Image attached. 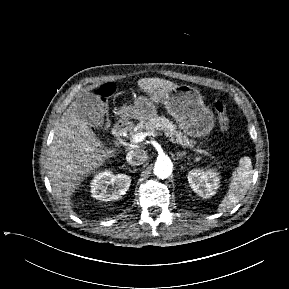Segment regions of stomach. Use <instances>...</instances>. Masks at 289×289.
<instances>
[{
    "label": "stomach",
    "instance_id": "obj_1",
    "mask_svg": "<svg viewBox=\"0 0 289 289\" xmlns=\"http://www.w3.org/2000/svg\"><path fill=\"white\" fill-rule=\"evenodd\" d=\"M164 104L179 128L191 137H206L214 127V114L205 106L200 92L189 85H177L156 99L139 96L120 110L123 118L148 120L156 115L155 104Z\"/></svg>",
    "mask_w": 289,
    "mask_h": 289
}]
</instances>
